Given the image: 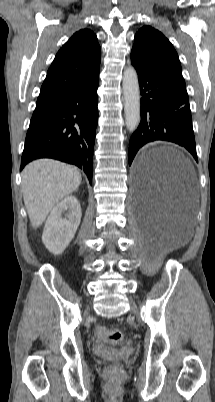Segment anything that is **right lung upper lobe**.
<instances>
[{
  "label": "right lung upper lobe",
  "mask_w": 215,
  "mask_h": 402,
  "mask_svg": "<svg viewBox=\"0 0 215 402\" xmlns=\"http://www.w3.org/2000/svg\"><path fill=\"white\" fill-rule=\"evenodd\" d=\"M101 48L96 35L81 29L58 51L42 84L37 104L57 98L92 82L99 76Z\"/></svg>",
  "instance_id": "obj_1"
}]
</instances>
